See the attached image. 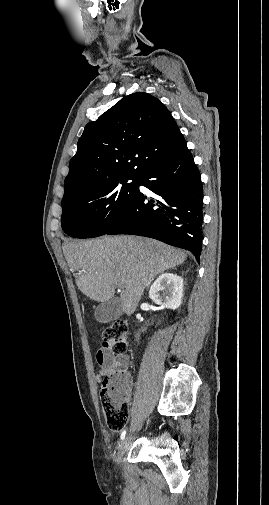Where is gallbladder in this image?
I'll use <instances>...</instances> for the list:
<instances>
[{
	"mask_svg": "<svg viewBox=\"0 0 269 505\" xmlns=\"http://www.w3.org/2000/svg\"><path fill=\"white\" fill-rule=\"evenodd\" d=\"M123 313L120 298L114 297L109 301L100 303L94 312L95 319L101 323H107L118 319Z\"/></svg>",
	"mask_w": 269,
	"mask_h": 505,
	"instance_id": "1",
	"label": "gallbladder"
}]
</instances>
